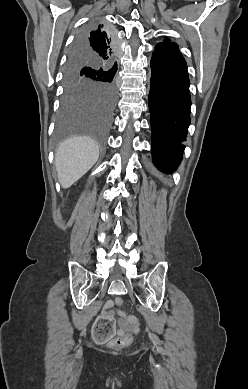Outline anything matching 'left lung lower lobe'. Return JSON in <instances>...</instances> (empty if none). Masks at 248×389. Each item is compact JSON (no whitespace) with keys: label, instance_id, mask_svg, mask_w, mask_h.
<instances>
[{"label":"left lung lower lobe","instance_id":"left-lung-lower-lobe-1","mask_svg":"<svg viewBox=\"0 0 248 389\" xmlns=\"http://www.w3.org/2000/svg\"><path fill=\"white\" fill-rule=\"evenodd\" d=\"M149 110L152 159L163 172H172L182 160L190 125L191 98L186 62L178 45L158 44L151 58Z\"/></svg>","mask_w":248,"mask_h":389}]
</instances>
